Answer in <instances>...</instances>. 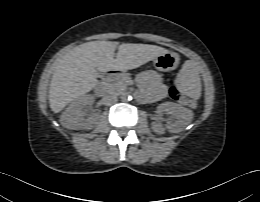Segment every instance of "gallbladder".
<instances>
[{
	"label": "gallbladder",
	"mask_w": 260,
	"mask_h": 202,
	"mask_svg": "<svg viewBox=\"0 0 260 202\" xmlns=\"http://www.w3.org/2000/svg\"><path fill=\"white\" fill-rule=\"evenodd\" d=\"M96 74H97V75H100L101 73H100V71L96 70Z\"/></svg>",
	"instance_id": "bac80fb5"
}]
</instances>
